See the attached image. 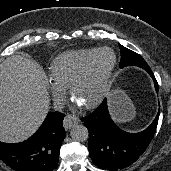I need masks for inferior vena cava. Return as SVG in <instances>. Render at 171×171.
Listing matches in <instances>:
<instances>
[{"instance_id": "obj_1", "label": "inferior vena cava", "mask_w": 171, "mask_h": 171, "mask_svg": "<svg viewBox=\"0 0 171 171\" xmlns=\"http://www.w3.org/2000/svg\"><path fill=\"white\" fill-rule=\"evenodd\" d=\"M64 108V102L61 99L54 100V109L61 111Z\"/></svg>"}]
</instances>
